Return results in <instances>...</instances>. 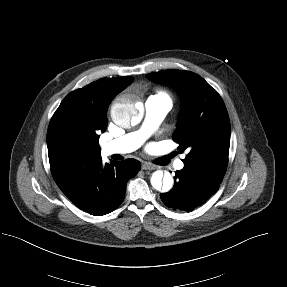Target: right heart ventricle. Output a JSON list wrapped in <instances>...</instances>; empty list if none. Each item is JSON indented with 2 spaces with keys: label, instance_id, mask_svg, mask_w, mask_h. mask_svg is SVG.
<instances>
[{
  "label": "right heart ventricle",
  "instance_id": "right-heart-ventricle-1",
  "mask_svg": "<svg viewBox=\"0 0 287 287\" xmlns=\"http://www.w3.org/2000/svg\"><path fill=\"white\" fill-rule=\"evenodd\" d=\"M157 95L169 98V96L165 92H162V91H160Z\"/></svg>",
  "mask_w": 287,
  "mask_h": 287
}]
</instances>
